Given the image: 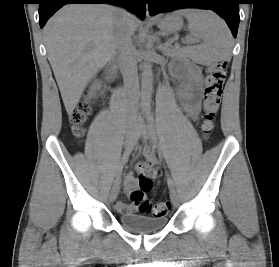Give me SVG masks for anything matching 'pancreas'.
<instances>
[{"instance_id": "1", "label": "pancreas", "mask_w": 279, "mask_h": 267, "mask_svg": "<svg viewBox=\"0 0 279 267\" xmlns=\"http://www.w3.org/2000/svg\"><path fill=\"white\" fill-rule=\"evenodd\" d=\"M165 53L170 57H184L186 53L184 50L179 49L178 47L172 49H165Z\"/></svg>"}]
</instances>
